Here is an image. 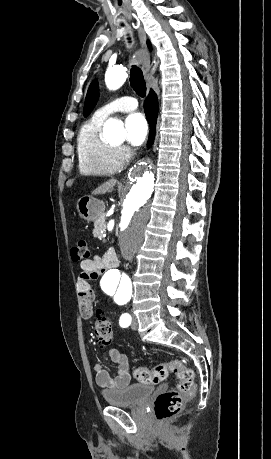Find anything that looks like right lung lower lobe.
Segmentation results:
<instances>
[{
	"instance_id": "obj_1",
	"label": "right lung lower lobe",
	"mask_w": 271,
	"mask_h": 459,
	"mask_svg": "<svg viewBox=\"0 0 271 459\" xmlns=\"http://www.w3.org/2000/svg\"><path fill=\"white\" fill-rule=\"evenodd\" d=\"M144 107H145V113H146L147 119L151 127L150 136L148 140V146H150L154 138L156 120H157V115H158V100L153 90L150 91L149 96L145 100Z\"/></svg>"
}]
</instances>
